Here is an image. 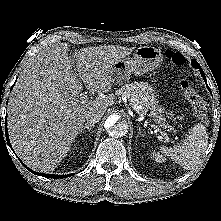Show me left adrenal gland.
<instances>
[{
    "mask_svg": "<svg viewBox=\"0 0 221 221\" xmlns=\"http://www.w3.org/2000/svg\"><path fill=\"white\" fill-rule=\"evenodd\" d=\"M138 130H139V131H138V134H137L136 138H138V137H143L144 134L142 133L140 126L138 127Z\"/></svg>",
    "mask_w": 221,
    "mask_h": 221,
    "instance_id": "left-adrenal-gland-1",
    "label": "left adrenal gland"
}]
</instances>
